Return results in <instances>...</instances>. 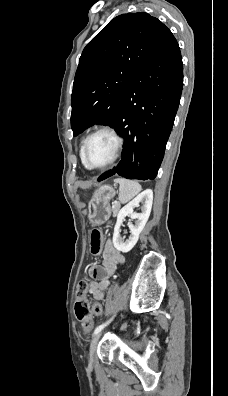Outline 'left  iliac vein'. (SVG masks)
<instances>
[{
    "label": "left iliac vein",
    "instance_id": "left-iliac-vein-1",
    "mask_svg": "<svg viewBox=\"0 0 228 396\" xmlns=\"http://www.w3.org/2000/svg\"><path fill=\"white\" fill-rule=\"evenodd\" d=\"M101 335H102V332L100 331L99 333L95 334L91 340L90 349H89V360L91 362H93V360H94L95 351H96L97 344L100 340Z\"/></svg>",
    "mask_w": 228,
    "mask_h": 396
}]
</instances>
